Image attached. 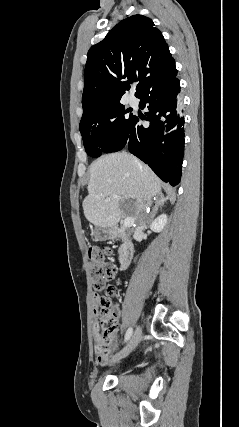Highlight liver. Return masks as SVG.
<instances>
[{
  "instance_id": "6515ba94",
  "label": "liver",
  "mask_w": 239,
  "mask_h": 427,
  "mask_svg": "<svg viewBox=\"0 0 239 427\" xmlns=\"http://www.w3.org/2000/svg\"><path fill=\"white\" fill-rule=\"evenodd\" d=\"M88 196L83 201L86 219L102 228L115 227L124 216L138 218L152 205L154 196H161L162 182L155 173L135 156L126 152L103 155L89 167ZM135 199L132 214L124 212L121 202Z\"/></svg>"
}]
</instances>
